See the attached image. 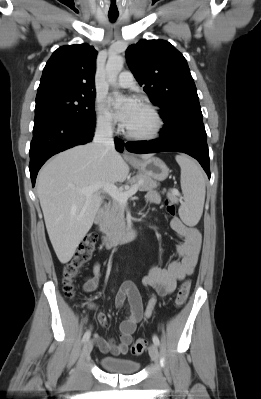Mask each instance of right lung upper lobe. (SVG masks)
<instances>
[{"label":"right lung upper lobe","instance_id":"1","mask_svg":"<svg viewBox=\"0 0 261 399\" xmlns=\"http://www.w3.org/2000/svg\"><path fill=\"white\" fill-rule=\"evenodd\" d=\"M97 52L88 44L58 48L43 69L37 96L53 94L95 95Z\"/></svg>","mask_w":261,"mask_h":399}]
</instances>
